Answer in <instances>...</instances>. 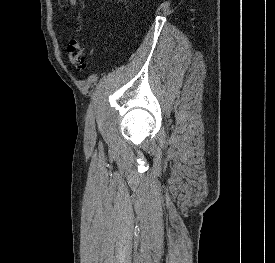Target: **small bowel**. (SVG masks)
<instances>
[{
	"mask_svg": "<svg viewBox=\"0 0 275 263\" xmlns=\"http://www.w3.org/2000/svg\"><path fill=\"white\" fill-rule=\"evenodd\" d=\"M70 1V4L72 6H76L77 5V0H69Z\"/></svg>",
	"mask_w": 275,
	"mask_h": 263,
	"instance_id": "obj_1",
	"label": "small bowel"
}]
</instances>
